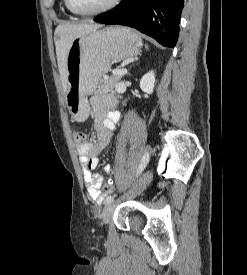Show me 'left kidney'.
<instances>
[{"label":"left kidney","mask_w":247,"mask_h":275,"mask_svg":"<svg viewBox=\"0 0 247 275\" xmlns=\"http://www.w3.org/2000/svg\"><path fill=\"white\" fill-rule=\"evenodd\" d=\"M155 73L150 71L145 74L140 80V88L143 92L147 94H152L155 86Z\"/></svg>","instance_id":"left-kidney-1"}]
</instances>
